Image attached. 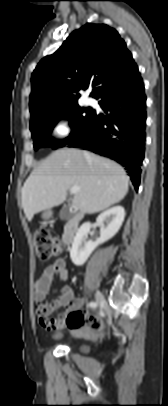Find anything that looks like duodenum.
I'll use <instances>...</instances> for the list:
<instances>
[{"instance_id": "duodenum-1", "label": "duodenum", "mask_w": 168, "mask_h": 406, "mask_svg": "<svg viewBox=\"0 0 168 406\" xmlns=\"http://www.w3.org/2000/svg\"><path fill=\"white\" fill-rule=\"evenodd\" d=\"M83 214L80 211L73 213L66 221L63 229V243L65 246H69L73 241L74 236L78 230V227L82 221Z\"/></svg>"}]
</instances>
